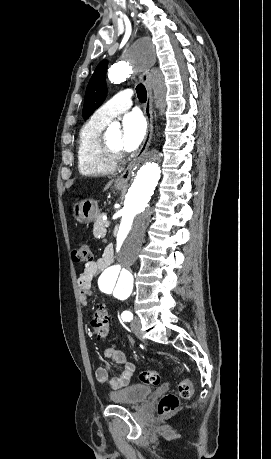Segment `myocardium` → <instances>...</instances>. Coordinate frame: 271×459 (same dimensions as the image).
Wrapping results in <instances>:
<instances>
[{
	"mask_svg": "<svg viewBox=\"0 0 271 459\" xmlns=\"http://www.w3.org/2000/svg\"><path fill=\"white\" fill-rule=\"evenodd\" d=\"M100 151L107 158L117 161L122 158L124 154L123 148L113 147L107 140L106 134H102L100 137Z\"/></svg>",
	"mask_w": 271,
	"mask_h": 459,
	"instance_id": "1",
	"label": "myocardium"
}]
</instances>
